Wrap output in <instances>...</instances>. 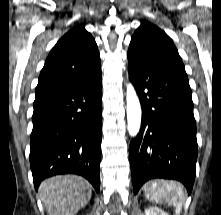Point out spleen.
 Masks as SVG:
<instances>
[{
  "mask_svg": "<svg viewBox=\"0 0 221 215\" xmlns=\"http://www.w3.org/2000/svg\"><path fill=\"white\" fill-rule=\"evenodd\" d=\"M145 196L156 203H166L176 207V212L180 213L184 202V192L178 182L164 181L152 182L145 190Z\"/></svg>",
  "mask_w": 221,
  "mask_h": 215,
  "instance_id": "obj_1",
  "label": "spleen"
}]
</instances>
